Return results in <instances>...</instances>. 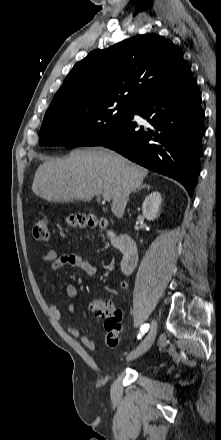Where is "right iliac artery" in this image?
I'll return each instance as SVG.
<instances>
[{
    "label": "right iliac artery",
    "instance_id": "right-iliac-artery-1",
    "mask_svg": "<svg viewBox=\"0 0 221 440\" xmlns=\"http://www.w3.org/2000/svg\"><path fill=\"white\" fill-rule=\"evenodd\" d=\"M148 329H149V324L142 325L141 329H140L141 332H140V335L138 336V338H140L141 335L143 336L148 331Z\"/></svg>",
    "mask_w": 221,
    "mask_h": 440
}]
</instances>
